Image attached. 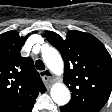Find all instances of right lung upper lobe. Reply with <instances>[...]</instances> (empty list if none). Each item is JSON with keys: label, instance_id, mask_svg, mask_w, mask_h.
Masks as SVG:
<instances>
[{"label": "right lung upper lobe", "instance_id": "cb5924a9", "mask_svg": "<svg viewBox=\"0 0 112 112\" xmlns=\"http://www.w3.org/2000/svg\"><path fill=\"white\" fill-rule=\"evenodd\" d=\"M29 35H0V112H31L38 94L46 91L33 60L20 54Z\"/></svg>", "mask_w": 112, "mask_h": 112}]
</instances>
